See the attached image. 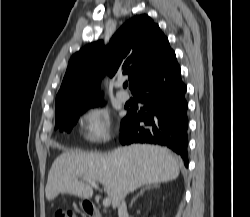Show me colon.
Masks as SVG:
<instances>
[{
    "label": "colon",
    "mask_w": 250,
    "mask_h": 217,
    "mask_svg": "<svg viewBox=\"0 0 250 217\" xmlns=\"http://www.w3.org/2000/svg\"><path fill=\"white\" fill-rule=\"evenodd\" d=\"M54 217H76L75 213L68 209H58Z\"/></svg>",
    "instance_id": "1"
}]
</instances>
